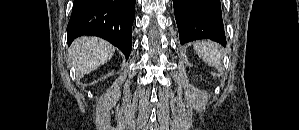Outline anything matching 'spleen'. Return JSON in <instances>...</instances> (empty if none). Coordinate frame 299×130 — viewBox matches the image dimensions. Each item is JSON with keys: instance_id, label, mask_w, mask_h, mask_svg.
I'll return each instance as SVG.
<instances>
[{"instance_id": "3e777b00", "label": "spleen", "mask_w": 299, "mask_h": 130, "mask_svg": "<svg viewBox=\"0 0 299 130\" xmlns=\"http://www.w3.org/2000/svg\"><path fill=\"white\" fill-rule=\"evenodd\" d=\"M193 47L198 56L209 66L216 67L220 64L221 53L216 43L198 41L194 43Z\"/></svg>"}]
</instances>
